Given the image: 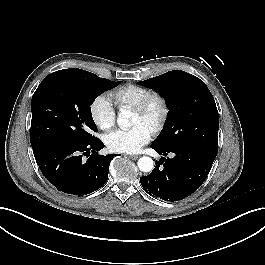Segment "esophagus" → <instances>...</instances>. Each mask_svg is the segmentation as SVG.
I'll return each mask as SVG.
<instances>
[{
  "mask_svg": "<svg viewBox=\"0 0 265 265\" xmlns=\"http://www.w3.org/2000/svg\"><path fill=\"white\" fill-rule=\"evenodd\" d=\"M140 156L139 155H129L128 158L132 160H137Z\"/></svg>",
  "mask_w": 265,
  "mask_h": 265,
  "instance_id": "34e87169",
  "label": "esophagus"
}]
</instances>
